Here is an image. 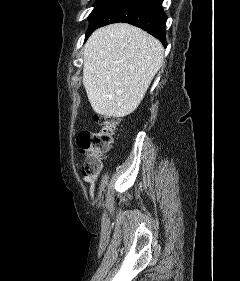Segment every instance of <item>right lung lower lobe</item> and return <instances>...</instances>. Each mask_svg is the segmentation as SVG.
Here are the masks:
<instances>
[{
  "instance_id": "right-lung-lower-lobe-1",
  "label": "right lung lower lobe",
  "mask_w": 240,
  "mask_h": 281,
  "mask_svg": "<svg viewBox=\"0 0 240 281\" xmlns=\"http://www.w3.org/2000/svg\"><path fill=\"white\" fill-rule=\"evenodd\" d=\"M162 1L121 0L102 18L94 30L111 23L125 22L146 30L160 39L166 47L165 23L167 16L161 6Z\"/></svg>"
}]
</instances>
